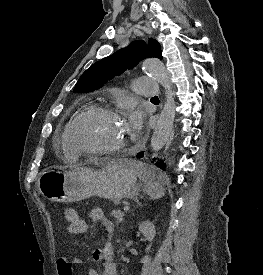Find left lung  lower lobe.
<instances>
[{"mask_svg":"<svg viewBox=\"0 0 263 275\" xmlns=\"http://www.w3.org/2000/svg\"><path fill=\"white\" fill-rule=\"evenodd\" d=\"M144 156V152H139L136 157L137 158H143ZM155 160V159H154ZM155 165H157L158 167L162 168V169H165L166 167V163L163 162V160H159L155 163Z\"/></svg>","mask_w":263,"mask_h":275,"instance_id":"left-lung-lower-lobe-1","label":"left lung lower lobe"}]
</instances>
